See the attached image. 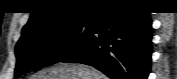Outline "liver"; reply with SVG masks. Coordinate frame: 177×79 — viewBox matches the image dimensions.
Listing matches in <instances>:
<instances>
[{
	"mask_svg": "<svg viewBox=\"0 0 177 79\" xmlns=\"http://www.w3.org/2000/svg\"><path fill=\"white\" fill-rule=\"evenodd\" d=\"M30 79H107L94 67L79 63H58L43 69Z\"/></svg>",
	"mask_w": 177,
	"mask_h": 79,
	"instance_id": "liver-1",
	"label": "liver"
}]
</instances>
